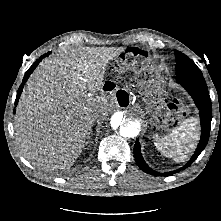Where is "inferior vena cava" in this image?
Listing matches in <instances>:
<instances>
[{"label":"inferior vena cava","instance_id":"inferior-vena-cava-1","mask_svg":"<svg viewBox=\"0 0 221 221\" xmlns=\"http://www.w3.org/2000/svg\"><path fill=\"white\" fill-rule=\"evenodd\" d=\"M92 117H93L94 120L99 121V120L102 119L103 114H102L101 111L96 110V111L93 112Z\"/></svg>","mask_w":221,"mask_h":221}]
</instances>
